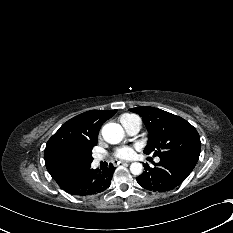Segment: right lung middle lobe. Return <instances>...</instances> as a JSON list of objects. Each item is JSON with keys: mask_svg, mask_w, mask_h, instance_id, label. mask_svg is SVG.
<instances>
[{"mask_svg": "<svg viewBox=\"0 0 233 233\" xmlns=\"http://www.w3.org/2000/svg\"><path fill=\"white\" fill-rule=\"evenodd\" d=\"M91 154H92V151L89 152L87 155L78 158L75 162L76 165L82 168H86L90 166L91 162L93 161Z\"/></svg>", "mask_w": 233, "mask_h": 233, "instance_id": "dd1d6c3e", "label": "right lung middle lobe"}]
</instances>
